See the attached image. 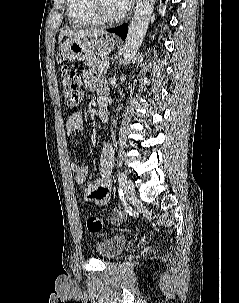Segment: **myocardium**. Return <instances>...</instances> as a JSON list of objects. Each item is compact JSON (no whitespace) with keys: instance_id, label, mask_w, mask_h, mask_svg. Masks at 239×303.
<instances>
[{"instance_id":"f54148a6","label":"myocardium","mask_w":239,"mask_h":303,"mask_svg":"<svg viewBox=\"0 0 239 303\" xmlns=\"http://www.w3.org/2000/svg\"><path fill=\"white\" fill-rule=\"evenodd\" d=\"M89 10L94 18L101 24H115L120 22L126 16V11H123L117 16H109L104 12L101 0H89Z\"/></svg>"}]
</instances>
